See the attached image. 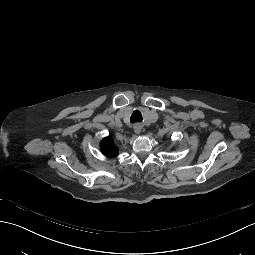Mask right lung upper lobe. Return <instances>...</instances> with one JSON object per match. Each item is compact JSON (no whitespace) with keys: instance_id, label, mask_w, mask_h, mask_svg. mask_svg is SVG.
Here are the masks:
<instances>
[{"instance_id":"cb5924a9","label":"right lung upper lobe","mask_w":255,"mask_h":255,"mask_svg":"<svg viewBox=\"0 0 255 255\" xmlns=\"http://www.w3.org/2000/svg\"><path fill=\"white\" fill-rule=\"evenodd\" d=\"M100 147L102 153L108 157H114L118 155V149L110 136L102 140Z\"/></svg>"}]
</instances>
